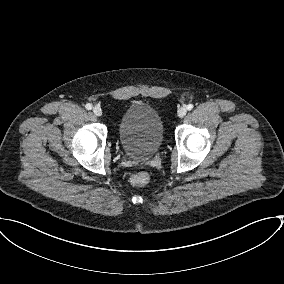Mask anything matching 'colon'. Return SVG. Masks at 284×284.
<instances>
[{"label": "colon", "mask_w": 284, "mask_h": 284, "mask_svg": "<svg viewBox=\"0 0 284 284\" xmlns=\"http://www.w3.org/2000/svg\"><path fill=\"white\" fill-rule=\"evenodd\" d=\"M149 174L145 171L138 172L131 176L130 182L134 186H143L149 181Z\"/></svg>", "instance_id": "1"}]
</instances>
